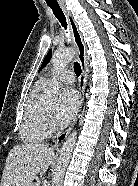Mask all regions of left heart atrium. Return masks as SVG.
<instances>
[{"instance_id": "1", "label": "left heart atrium", "mask_w": 138, "mask_h": 186, "mask_svg": "<svg viewBox=\"0 0 138 186\" xmlns=\"http://www.w3.org/2000/svg\"><path fill=\"white\" fill-rule=\"evenodd\" d=\"M79 106V96L75 89L66 88L62 93V103L55 118L60 125L67 124L75 115Z\"/></svg>"}]
</instances>
